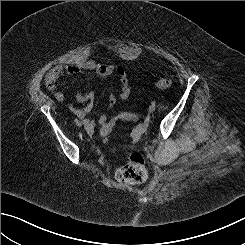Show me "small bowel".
I'll list each match as a JSON object with an SVG mask.
<instances>
[{"label": "small bowel", "instance_id": "c3829d8e", "mask_svg": "<svg viewBox=\"0 0 245 245\" xmlns=\"http://www.w3.org/2000/svg\"><path fill=\"white\" fill-rule=\"evenodd\" d=\"M83 70L94 72L98 78L106 79L115 74L119 78L120 91L118 97L121 100H126L130 95V88L127 77L122 68L113 64H102L94 60H85L73 62L66 65H57L52 68L45 76L46 88L54 93L55 99L58 102L66 101L65 95L57 89L58 81L64 75H76ZM95 95L93 92H76L74 96L68 100V106L72 113L83 120L85 126L89 130H93L97 126L104 125L107 121V113H102L96 119L87 118V114L93 109ZM117 96L110 92L108 94L107 108L110 110L116 104ZM78 102H84L85 106L77 107Z\"/></svg>", "mask_w": 245, "mask_h": 245}]
</instances>
